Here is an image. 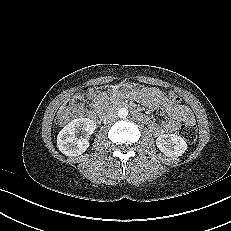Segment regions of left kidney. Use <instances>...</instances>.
I'll return each instance as SVG.
<instances>
[{
  "label": "left kidney",
  "mask_w": 231,
  "mask_h": 231,
  "mask_svg": "<svg viewBox=\"0 0 231 231\" xmlns=\"http://www.w3.org/2000/svg\"><path fill=\"white\" fill-rule=\"evenodd\" d=\"M159 150L167 156L179 157L187 150L185 140L175 134H163L156 139Z\"/></svg>",
  "instance_id": "1"
}]
</instances>
